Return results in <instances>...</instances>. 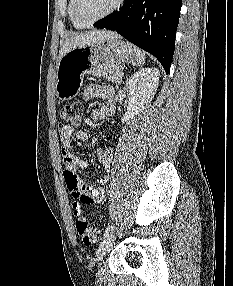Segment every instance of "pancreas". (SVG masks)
Listing matches in <instances>:
<instances>
[{"label": "pancreas", "instance_id": "pancreas-1", "mask_svg": "<svg viewBox=\"0 0 233 286\" xmlns=\"http://www.w3.org/2000/svg\"><path fill=\"white\" fill-rule=\"evenodd\" d=\"M121 70L122 67L119 65L104 66L93 72V75L96 77L103 76L104 78L115 84H120L122 81V77H119L118 73L121 72Z\"/></svg>", "mask_w": 233, "mask_h": 286}]
</instances>
